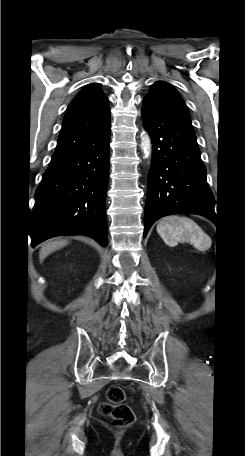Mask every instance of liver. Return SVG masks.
I'll use <instances>...</instances> for the list:
<instances>
[{"label":"liver","instance_id":"obj_1","mask_svg":"<svg viewBox=\"0 0 245 456\" xmlns=\"http://www.w3.org/2000/svg\"><path fill=\"white\" fill-rule=\"evenodd\" d=\"M67 244L66 240H56V241H50L48 243H45L42 245L39 253V259L40 262H43V260L52 252L64 247Z\"/></svg>","mask_w":245,"mask_h":456}]
</instances>
